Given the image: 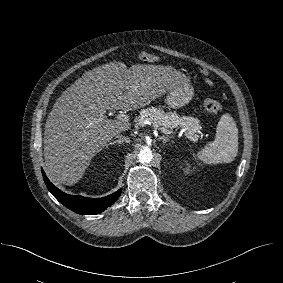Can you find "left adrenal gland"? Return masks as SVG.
Masks as SVG:
<instances>
[{"mask_svg": "<svg viewBox=\"0 0 283 283\" xmlns=\"http://www.w3.org/2000/svg\"><path fill=\"white\" fill-rule=\"evenodd\" d=\"M170 138H171V136L162 135L158 138V140H162L163 143L165 144L166 142L170 141Z\"/></svg>", "mask_w": 283, "mask_h": 283, "instance_id": "left-adrenal-gland-1", "label": "left adrenal gland"}]
</instances>
